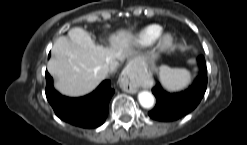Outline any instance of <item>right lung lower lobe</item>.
Returning <instances> with one entry per match:
<instances>
[{
	"label": "right lung lower lobe",
	"mask_w": 247,
	"mask_h": 145,
	"mask_svg": "<svg viewBox=\"0 0 247 145\" xmlns=\"http://www.w3.org/2000/svg\"><path fill=\"white\" fill-rule=\"evenodd\" d=\"M45 77L47 100L61 120L83 128H96L104 123L109 100L114 94L109 80L103 81L87 96L68 98L53 88V80L47 71Z\"/></svg>",
	"instance_id": "98d812e1"
}]
</instances>
